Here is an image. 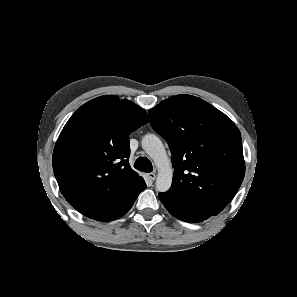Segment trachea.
<instances>
[{"mask_svg":"<svg viewBox=\"0 0 297 297\" xmlns=\"http://www.w3.org/2000/svg\"><path fill=\"white\" fill-rule=\"evenodd\" d=\"M134 167L137 170H140V171L146 172V173L152 172V170H153V166H152L151 161L146 157H139L135 161Z\"/></svg>","mask_w":297,"mask_h":297,"instance_id":"1","label":"trachea"}]
</instances>
